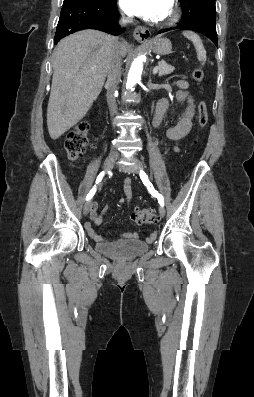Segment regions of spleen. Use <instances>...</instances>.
Returning a JSON list of instances; mask_svg holds the SVG:
<instances>
[{"instance_id":"obj_1","label":"spleen","mask_w":254,"mask_h":397,"mask_svg":"<svg viewBox=\"0 0 254 397\" xmlns=\"http://www.w3.org/2000/svg\"><path fill=\"white\" fill-rule=\"evenodd\" d=\"M182 34L187 39L192 41V43L194 44L196 53H197L198 60L201 61L202 64H204L206 61V51L204 49V46H203V43H202L200 37L192 31H183Z\"/></svg>"}]
</instances>
